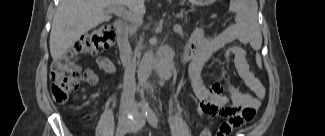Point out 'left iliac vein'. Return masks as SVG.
<instances>
[{
    "label": "left iliac vein",
    "mask_w": 325,
    "mask_h": 136,
    "mask_svg": "<svg viewBox=\"0 0 325 136\" xmlns=\"http://www.w3.org/2000/svg\"><path fill=\"white\" fill-rule=\"evenodd\" d=\"M140 120H141V119H138V120L136 121L135 125L131 128V131L136 132V131L139 129V127H140L139 121H140Z\"/></svg>",
    "instance_id": "4c4485c4"
}]
</instances>
